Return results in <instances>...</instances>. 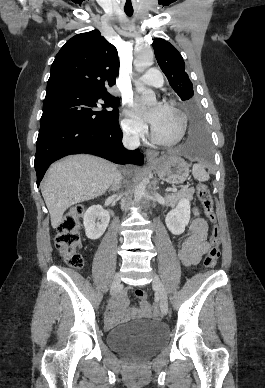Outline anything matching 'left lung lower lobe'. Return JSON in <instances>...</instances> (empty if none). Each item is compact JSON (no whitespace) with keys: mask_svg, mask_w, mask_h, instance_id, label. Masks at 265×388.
Instances as JSON below:
<instances>
[{"mask_svg":"<svg viewBox=\"0 0 265 388\" xmlns=\"http://www.w3.org/2000/svg\"><path fill=\"white\" fill-rule=\"evenodd\" d=\"M189 128L187 139L182 145V151L192 158L210 160V141L203 117L198 108L188 111Z\"/></svg>","mask_w":265,"mask_h":388,"instance_id":"left-lung-lower-lobe-1","label":"left lung lower lobe"}]
</instances>
